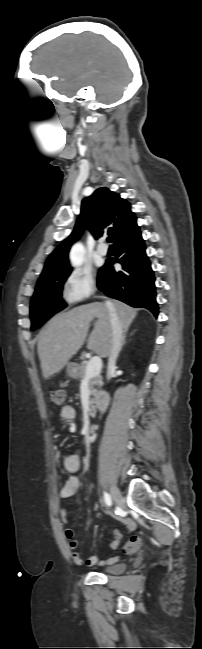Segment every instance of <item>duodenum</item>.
Instances as JSON below:
<instances>
[{"mask_svg": "<svg viewBox=\"0 0 202 649\" xmlns=\"http://www.w3.org/2000/svg\"><path fill=\"white\" fill-rule=\"evenodd\" d=\"M107 402H108V396L105 393H97L95 399V405L97 408L105 409L107 406ZM91 413H94V410H92Z\"/></svg>", "mask_w": 202, "mask_h": 649, "instance_id": "1", "label": "duodenum"}]
</instances>
